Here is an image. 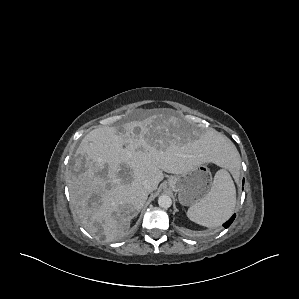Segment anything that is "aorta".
<instances>
[{
    "mask_svg": "<svg viewBox=\"0 0 299 299\" xmlns=\"http://www.w3.org/2000/svg\"><path fill=\"white\" fill-rule=\"evenodd\" d=\"M158 204L162 208H169L172 205V199L168 195H161L158 198Z\"/></svg>",
    "mask_w": 299,
    "mask_h": 299,
    "instance_id": "obj_1",
    "label": "aorta"
}]
</instances>
